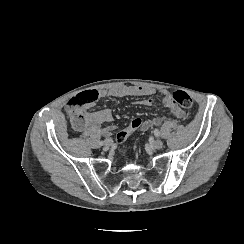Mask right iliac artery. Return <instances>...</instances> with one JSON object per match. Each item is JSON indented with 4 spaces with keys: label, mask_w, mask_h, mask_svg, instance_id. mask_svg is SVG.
Listing matches in <instances>:
<instances>
[{
    "label": "right iliac artery",
    "mask_w": 244,
    "mask_h": 244,
    "mask_svg": "<svg viewBox=\"0 0 244 244\" xmlns=\"http://www.w3.org/2000/svg\"><path fill=\"white\" fill-rule=\"evenodd\" d=\"M99 145H101V146L104 145V142L103 141L99 142Z\"/></svg>",
    "instance_id": "obj_1"
}]
</instances>
